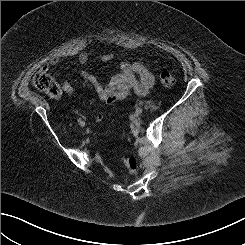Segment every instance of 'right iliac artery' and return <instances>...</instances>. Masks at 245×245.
<instances>
[{
	"mask_svg": "<svg viewBox=\"0 0 245 245\" xmlns=\"http://www.w3.org/2000/svg\"><path fill=\"white\" fill-rule=\"evenodd\" d=\"M84 121H82L80 118L78 119V123L81 125V123H83Z\"/></svg>",
	"mask_w": 245,
	"mask_h": 245,
	"instance_id": "82829eb1",
	"label": "right iliac artery"
}]
</instances>
